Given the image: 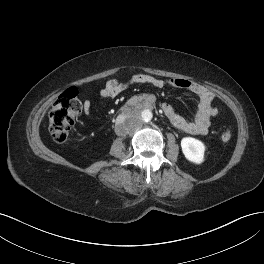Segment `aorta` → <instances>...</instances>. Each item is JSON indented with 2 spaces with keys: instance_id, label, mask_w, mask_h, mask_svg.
Masks as SVG:
<instances>
[{
  "instance_id": "1",
  "label": "aorta",
  "mask_w": 264,
  "mask_h": 264,
  "mask_svg": "<svg viewBox=\"0 0 264 264\" xmlns=\"http://www.w3.org/2000/svg\"><path fill=\"white\" fill-rule=\"evenodd\" d=\"M137 116L142 121H150L153 117V114L150 110L145 109V110L141 111L140 113H138Z\"/></svg>"
}]
</instances>
